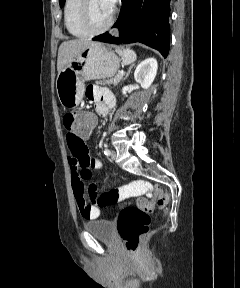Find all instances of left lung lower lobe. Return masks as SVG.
Instances as JSON below:
<instances>
[{
  "instance_id": "obj_1",
  "label": "left lung lower lobe",
  "mask_w": 240,
  "mask_h": 288,
  "mask_svg": "<svg viewBox=\"0 0 240 288\" xmlns=\"http://www.w3.org/2000/svg\"><path fill=\"white\" fill-rule=\"evenodd\" d=\"M169 3L170 0H122L114 24L122 35L114 38L106 32L93 40L114 44L140 42L167 57L170 46Z\"/></svg>"
}]
</instances>
